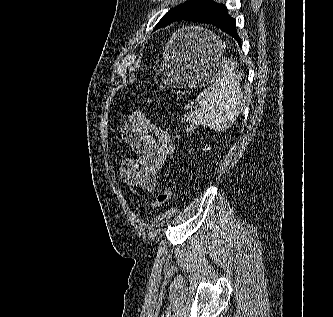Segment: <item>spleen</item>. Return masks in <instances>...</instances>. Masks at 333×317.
I'll return each mask as SVG.
<instances>
[{
	"label": "spleen",
	"instance_id": "spleen-1",
	"mask_svg": "<svg viewBox=\"0 0 333 317\" xmlns=\"http://www.w3.org/2000/svg\"><path fill=\"white\" fill-rule=\"evenodd\" d=\"M188 30L198 32L201 28L191 27ZM205 31L215 37L221 45L219 37L211 31ZM236 69L233 61L224 59L211 85L196 98L200 108L185 114L182 120L191 122L193 126L202 125L216 131L231 127L239 115L243 99Z\"/></svg>",
	"mask_w": 333,
	"mask_h": 317
}]
</instances>
